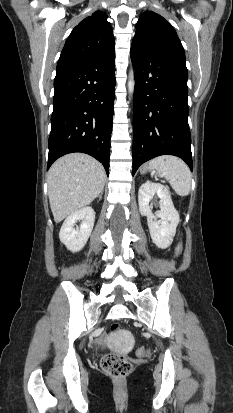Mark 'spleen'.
Wrapping results in <instances>:
<instances>
[{
    "label": "spleen",
    "instance_id": "1",
    "mask_svg": "<svg viewBox=\"0 0 233 413\" xmlns=\"http://www.w3.org/2000/svg\"><path fill=\"white\" fill-rule=\"evenodd\" d=\"M153 173L164 176L179 196H187L191 189V172L188 166L175 156H159L149 162Z\"/></svg>",
    "mask_w": 233,
    "mask_h": 413
}]
</instances>
